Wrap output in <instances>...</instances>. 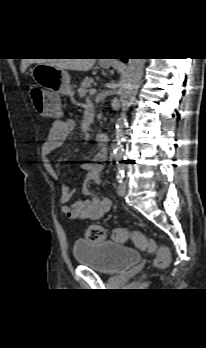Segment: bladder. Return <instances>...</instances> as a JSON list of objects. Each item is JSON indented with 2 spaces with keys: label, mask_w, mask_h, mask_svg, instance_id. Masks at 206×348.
Returning <instances> with one entry per match:
<instances>
[{
  "label": "bladder",
  "mask_w": 206,
  "mask_h": 348,
  "mask_svg": "<svg viewBox=\"0 0 206 348\" xmlns=\"http://www.w3.org/2000/svg\"><path fill=\"white\" fill-rule=\"evenodd\" d=\"M73 253L78 265L108 275L118 274L141 260L137 250L113 241H76Z\"/></svg>",
  "instance_id": "31cf9c89"
}]
</instances>
